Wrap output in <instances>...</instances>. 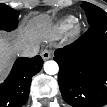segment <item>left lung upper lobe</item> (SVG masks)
Masks as SVG:
<instances>
[{
	"label": "left lung upper lobe",
	"instance_id": "1",
	"mask_svg": "<svg viewBox=\"0 0 107 107\" xmlns=\"http://www.w3.org/2000/svg\"><path fill=\"white\" fill-rule=\"evenodd\" d=\"M81 6L85 10L90 25H94L103 19H107V13L97 6L88 2H83Z\"/></svg>",
	"mask_w": 107,
	"mask_h": 107
}]
</instances>
